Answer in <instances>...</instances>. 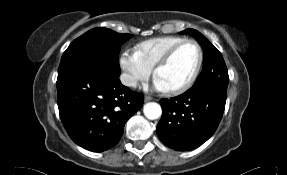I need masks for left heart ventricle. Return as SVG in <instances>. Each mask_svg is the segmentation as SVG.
Listing matches in <instances>:
<instances>
[{
    "mask_svg": "<svg viewBox=\"0 0 287 175\" xmlns=\"http://www.w3.org/2000/svg\"><path fill=\"white\" fill-rule=\"evenodd\" d=\"M198 58L197 47L192 43L186 44L177 51L166 66L158 71L157 78L164 83L167 90L177 88L191 77Z\"/></svg>",
    "mask_w": 287,
    "mask_h": 175,
    "instance_id": "b2bd125f",
    "label": "left heart ventricle"
}]
</instances>
